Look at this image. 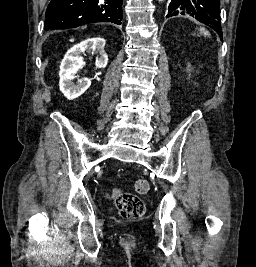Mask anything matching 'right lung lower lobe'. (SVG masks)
I'll use <instances>...</instances> for the list:
<instances>
[{
    "label": "right lung lower lobe",
    "mask_w": 256,
    "mask_h": 267,
    "mask_svg": "<svg viewBox=\"0 0 256 267\" xmlns=\"http://www.w3.org/2000/svg\"><path fill=\"white\" fill-rule=\"evenodd\" d=\"M123 0H51L45 30L69 29L95 22L120 25Z\"/></svg>",
    "instance_id": "right-lung-lower-lobe-1"
}]
</instances>
